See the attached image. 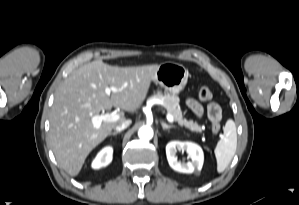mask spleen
I'll use <instances>...</instances> for the list:
<instances>
[{
    "label": "spleen",
    "mask_w": 299,
    "mask_h": 205,
    "mask_svg": "<svg viewBox=\"0 0 299 205\" xmlns=\"http://www.w3.org/2000/svg\"><path fill=\"white\" fill-rule=\"evenodd\" d=\"M223 131V138L218 141L214 150L218 173H222L228 167L237 148L236 125L232 119L226 122Z\"/></svg>",
    "instance_id": "spleen-1"
}]
</instances>
